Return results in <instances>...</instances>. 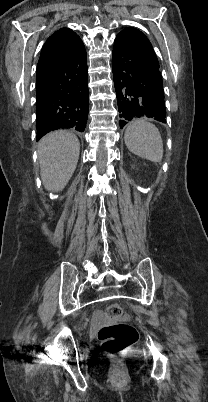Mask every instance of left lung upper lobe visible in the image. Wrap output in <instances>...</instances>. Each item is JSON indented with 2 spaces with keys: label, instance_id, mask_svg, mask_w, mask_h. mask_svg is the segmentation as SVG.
<instances>
[{
  "label": "left lung upper lobe",
  "instance_id": "1",
  "mask_svg": "<svg viewBox=\"0 0 208 402\" xmlns=\"http://www.w3.org/2000/svg\"><path fill=\"white\" fill-rule=\"evenodd\" d=\"M150 45H151V44H150ZM151 46H152V45H151ZM151 57H152V63H153L157 68H159L158 59H157V57H156V54H155L153 48H152V51H151Z\"/></svg>",
  "mask_w": 208,
  "mask_h": 402
}]
</instances>
